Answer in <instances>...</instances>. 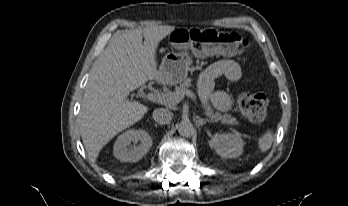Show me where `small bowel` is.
<instances>
[{
    "mask_svg": "<svg viewBox=\"0 0 348 206\" xmlns=\"http://www.w3.org/2000/svg\"><path fill=\"white\" fill-rule=\"evenodd\" d=\"M242 77L240 65L232 59H221L209 65L199 79V95L204 106L211 102L218 110L228 111L232 106V99L225 90L212 93L215 80L224 78L230 82L239 81Z\"/></svg>",
    "mask_w": 348,
    "mask_h": 206,
    "instance_id": "1",
    "label": "small bowel"
}]
</instances>
